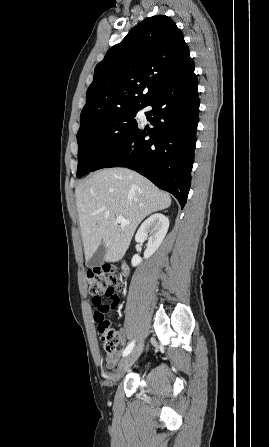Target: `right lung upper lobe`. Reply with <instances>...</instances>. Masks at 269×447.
I'll return each mask as SVG.
<instances>
[{"instance_id": "right-lung-upper-lobe-1", "label": "right lung upper lobe", "mask_w": 269, "mask_h": 447, "mask_svg": "<svg viewBox=\"0 0 269 447\" xmlns=\"http://www.w3.org/2000/svg\"><path fill=\"white\" fill-rule=\"evenodd\" d=\"M191 62L183 34L169 17L146 18L97 64L80 126L106 112L144 104Z\"/></svg>"}]
</instances>
